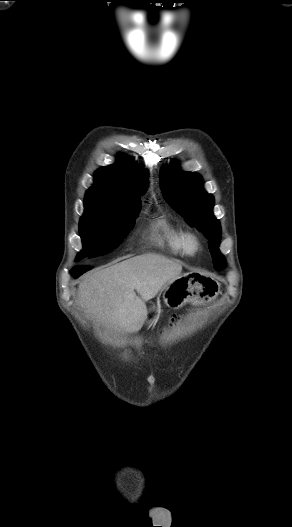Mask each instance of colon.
Segmentation results:
<instances>
[{
  "label": "colon",
  "instance_id": "obj_1",
  "mask_svg": "<svg viewBox=\"0 0 292 527\" xmlns=\"http://www.w3.org/2000/svg\"><path fill=\"white\" fill-rule=\"evenodd\" d=\"M176 322H177V318L174 317V318L172 319V323L174 324V323H176Z\"/></svg>",
  "mask_w": 292,
  "mask_h": 527
}]
</instances>
